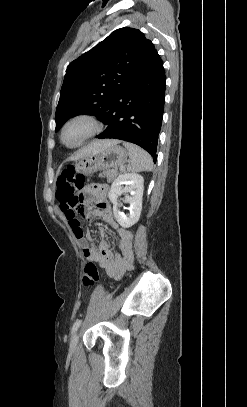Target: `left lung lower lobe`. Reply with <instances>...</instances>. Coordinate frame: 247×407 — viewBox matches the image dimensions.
<instances>
[{"label":"left lung lower lobe","mask_w":247,"mask_h":407,"mask_svg":"<svg viewBox=\"0 0 247 407\" xmlns=\"http://www.w3.org/2000/svg\"><path fill=\"white\" fill-rule=\"evenodd\" d=\"M165 82L163 62L156 51L116 97L104 122L108 126L97 138L137 144L151 154L155 163L165 103Z\"/></svg>","instance_id":"left-lung-lower-lobe-1"}]
</instances>
